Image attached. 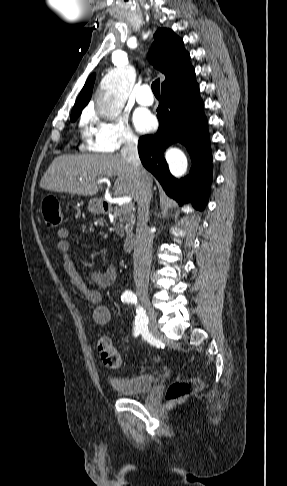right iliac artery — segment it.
I'll use <instances>...</instances> for the list:
<instances>
[{
  "instance_id": "right-iliac-artery-1",
  "label": "right iliac artery",
  "mask_w": 287,
  "mask_h": 486,
  "mask_svg": "<svg viewBox=\"0 0 287 486\" xmlns=\"http://www.w3.org/2000/svg\"><path fill=\"white\" fill-rule=\"evenodd\" d=\"M121 300L126 303L137 304V297L131 290H126L121 296ZM137 316L135 319L134 336L137 337L139 334L145 340H150L151 335L148 331V318L146 317L145 310L138 305L136 308Z\"/></svg>"
}]
</instances>
